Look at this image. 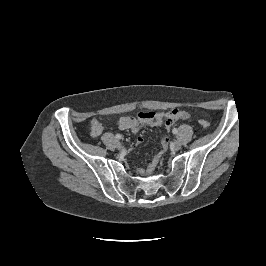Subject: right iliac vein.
I'll use <instances>...</instances> for the list:
<instances>
[{"label":"right iliac vein","mask_w":266,"mask_h":266,"mask_svg":"<svg viewBox=\"0 0 266 266\" xmlns=\"http://www.w3.org/2000/svg\"><path fill=\"white\" fill-rule=\"evenodd\" d=\"M116 147H117L118 149H122V148H123V145H122L121 142L117 141V143H116Z\"/></svg>","instance_id":"63e3f726"}]
</instances>
